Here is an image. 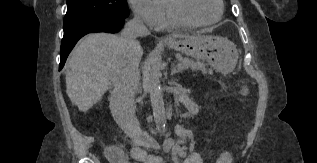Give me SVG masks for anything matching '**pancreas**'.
I'll use <instances>...</instances> for the list:
<instances>
[{
    "label": "pancreas",
    "instance_id": "obj_1",
    "mask_svg": "<svg viewBox=\"0 0 317 163\" xmlns=\"http://www.w3.org/2000/svg\"><path fill=\"white\" fill-rule=\"evenodd\" d=\"M177 59L179 61V65H182L184 69L191 68L194 71L200 70L203 74L208 72L207 65L201 61H194L193 59L183 58L181 56H177Z\"/></svg>",
    "mask_w": 317,
    "mask_h": 163
}]
</instances>
